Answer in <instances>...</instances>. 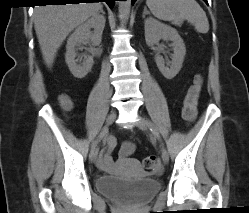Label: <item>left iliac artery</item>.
I'll use <instances>...</instances> for the list:
<instances>
[{
	"label": "left iliac artery",
	"mask_w": 249,
	"mask_h": 213,
	"mask_svg": "<svg viewBox=\"0 0 249 213\" xmlns=\"http://www.w3.org/2000/svg\"><path fill=\"white\" fill-rule=\"evenodd\" d=\"M147 122L150 125V130H151L152 134L154 135V137L157 138L159 141H161V138H160L158 132L156 131V129L152 126V124L149 121H147Z\"/></svg>",
	"instance_id": "obj_1"
}]
</instances>
